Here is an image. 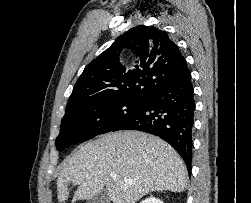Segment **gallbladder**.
I'll use <instances>...</instances> for the list:
<instances>
[{
    "label": "gallbladder",
    "instance_id": "1",
    "mask_svg": "<svg viewBox=\"0 0 251 203\" xmlns=\"http://www.w3.org/2000/svg\"><path fill=\"white\" fill-rule=\"evenodd\" d=\"M110 199L105 189L87 200V203H109Z\"/></svg>",
    "mask_w": 251,
    "mask_h": 203
}]
</instances>
